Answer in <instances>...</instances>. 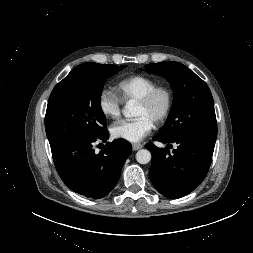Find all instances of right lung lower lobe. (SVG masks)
Masks as SVG:
<instances>
[{"label":"right lung lower lobe","instance_id":"1","mask_svg":"<svg viewBox=\"0 0 253 253\" xmlns=\"http://www.w3.org/2000/svg\"><path fill=\"white\" fill-rule=\"evenodd\" d=\"M108 138L106 129L95 137L73 138L50 145L58 174L75 193L100 199L115 187L132 146L124 139H116L96 153L94 143L99 140L105 143Z\"/></svg>","mask_w":253,"mask_h":253}]
</instances>
